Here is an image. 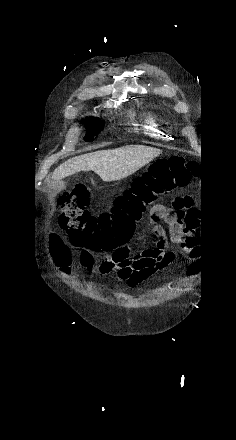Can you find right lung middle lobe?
I'll use <instances>...</instances> for the list:
<instances>
[{
    "label": "right lung middle lobe",
    "instance_id": "right-lung-middle-lobe-1",
    "mask_svg": "<svg viewBox=\"0 0 236 440\" xmlns=\"http://www.w3.org/2000/svg\"><path fill=\"white\" fill-rule=\"evenodd\" d=\"M85 124L88 130V133L85 137V141H90L93 139L95 135H97L101 129L104 127V122H102L98 118H89L85 120Z\"/></svg>",
    "mask_w": 236,
    "mask_h": 440
}]
</instances>
